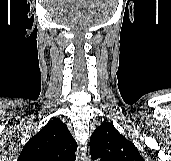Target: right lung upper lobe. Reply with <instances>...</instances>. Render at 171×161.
<instances>
[{
	"label": "right lung upper lobe",
	"mask_w": 171,
	"mask_h": 161,
	"mask_svg": "<svg viewBox=\"0 0 171 161\" xmlns=\"http://www.w3.org/2000/svg\"><path fill=\"white\" fill-rule=\"evenodd\" d=\"M76 149L67 126L53 119L25 144L17 161H75Z\"/></svg>",
	"instance_id": "1"
}]
</instances>
